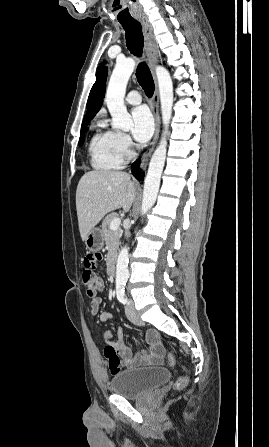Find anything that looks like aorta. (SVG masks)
<instances>
[{"mask_svg":"<svg viewBox=\"0 0 269 447\" xmlns=\"http://www.w3.org/2000/svg\"><path fill=\"white\" fill-rule=\"evenodd\" d=\"M136 60L125 58L116 60V66L109 80L105 104L112 116V128L118 130H131L133 120L124 106L126 86L128 80L136 68ZM155 74L158 80L160 106L164 132L161 136L159 146H157L149 164L148 174L144 184L141 214H146L156 202L159 192L161 174L163 172L167 154V132L172 118V108L174 102L173 84L168 70L162 66H155ZM128 247H122L116 263V285H124L129 277L128 269Z\"/></svg>","mask_w":269,"mask_h":447,"instance_id":"762f6f07","label":"aorta"}]
</instances>
